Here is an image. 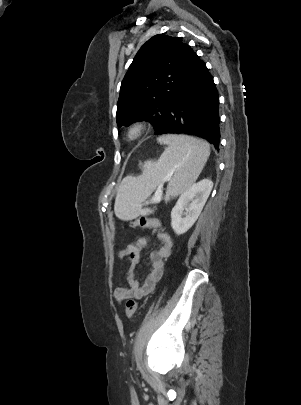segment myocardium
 I'll return each instance as SVG.
<instances>
[{"label":"myocardium","mask_w":301,"mask_h":405,"mask_svg":"<svg viewBox=\"0 0 301 405\" xmlns=\"http://www.w3.org/2000/svg\"><path fill=\"white\" fill-rule=\"evenodd\" d=\"M146 130V124L144 122H134L128 126L125 137L127 141L134 142L138 140Z\"/></svg>","instance_id":"myocardium-1"}]
</instances>
